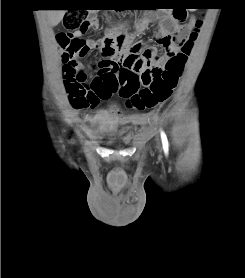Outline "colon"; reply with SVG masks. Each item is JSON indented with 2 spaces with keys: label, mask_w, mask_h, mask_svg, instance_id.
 <instances>
[{
  "label": "colon",
  "mask_w": 245,
  "mask_h": 278,
  "mask_svg": "<svg viewBox=\"0 0 245 278\" xmlns=\"http://www.w3.org/2000/svg\"><path fill=\"white\" fill-rule=\"evenodd\" d=\"M84 10L77 9L68 12L63 20L65 31L58 36V44L64 50L62 61L68 104L75 111L96 106L99 97L104 96V93L96 92L97 85L94 79L75 69L77 58L86 54L89 46L84 39L75 38L72 34L77 31L94 30L96 27V22L93 19L88 20L85 17L86 11ZM175 17L181 19L183 14L177 12ZM195 37L196 33H192L189 38L175 37L174 43L179 51L165 59L157 56L158 60L164 61L162 69L147 64V67L139 74L129 72L120 77H110V92L124 98L127 106L137 111L153 109L166 103L171 98L183 74L184 64ZM118 40L122 42L123 36L118 37ZM140 48L137 45L133 47V50ZM140 83L144 85L142 88H140Z\"/></svg>",
  "instance_id": "obj_1"
}]
</instances>
